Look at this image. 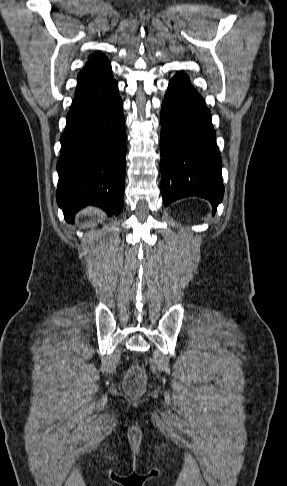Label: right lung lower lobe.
<instances>
[{"mask_svg": "<svg viewBox=\"0 0 287 486\" xmlns=\"http://www.w3.org/2000/svg\"><path fill=\"white\" fill-rule=\"evenodd\" d=\"M57 163V203L66 221L92 204L108 215L124 205L126 133L118 84L113 78L76 90L67 114Z\"/></svg>", "mask_w": 287, "mask_h": 486, "instance_id": "obj_1", "label": "right lung lower lobe"}]
</instances>
